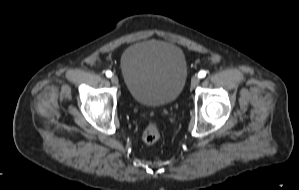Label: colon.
<instances>
[{"label": "colon", "instance_id": "colon-1", "mask_svg": "<svg viewBox=\"0 0 299 190\" xmlns=\"http://www.w3.org/2000/svg\"><path fill=\"white\" fill-rule=\"evenodd\" d=\"M161 130L157 122H151L143 130V140L147 144H154L160 138Z\"/></svg>", "mask_w": 299, "mask_h": 190}]
</instances>
